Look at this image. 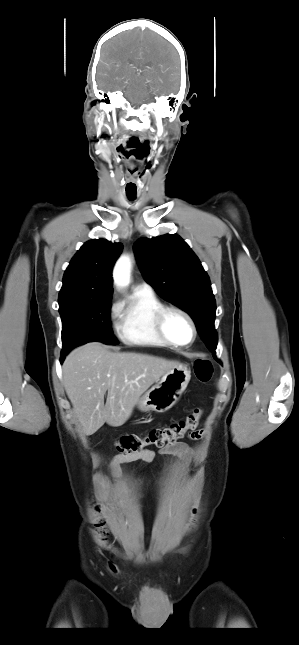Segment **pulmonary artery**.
<instances>
[{"label":"pulmonary artery","instance_id":"pulmonary-artery-1","mask_svg":"<svg viewBox=\"0 0 299 645\" xmlns=\"http://www.w3.org/2000/svg\"><path fill=\"white\" fill-rule=\"evenodd\" d=\"M135 290H141L144 292H153L152 287L148 283H139L136 287Z\"/></svg>","mask_w":299,"mask_h":645}]
</instances>
